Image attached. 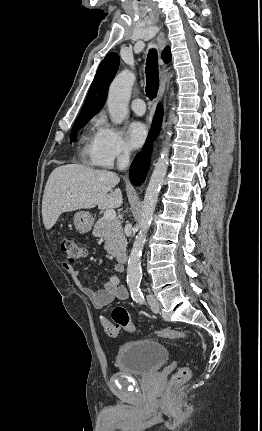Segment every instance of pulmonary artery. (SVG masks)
<instances>
[{
  "label": "pulmonary artery",
  "mask_w": 262,
  "mask_h": 431,
  "mask_svg": "<svg viewBox=\"0 0 262 431\" xmlns=\"http://www.w3.org/2000/svg\"><path fill=\"white\" fill-rule=\"evenodd\" d=\"M133 112L137 115H143L146 111L145 102L142 98H136L131 103Z\"/></svg>",
  "instance_id": "obj_1"
}]
</instances>
